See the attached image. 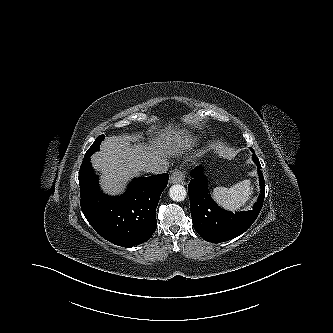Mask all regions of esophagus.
Returning a JSON list of instances; mask_svg holds the SVG:
<instances>
[{"instance_id":"1","label":"esophagus","mask_w":333,"mask_h":333,"mask_svg":"<svg viewBox=\"0 0 333 333\" xmlns=\"http://www.w3.org/2000/svg\"><path fill=\"white\" fill-rule=\"evenodd\" d=\"M183 181H184V173L179 169L174 170L169 178L170 184L183 183Z\"/></svg>"}]
</instances>
